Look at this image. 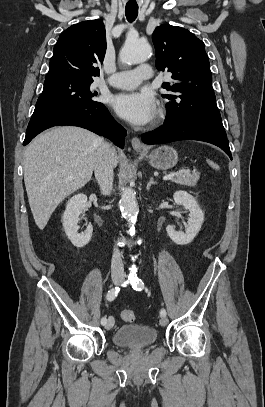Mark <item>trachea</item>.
I'll use <instances>...</instances> for the list:
<instances>
[{
	"label": "trachea",
	"instance_id": "trachea-1",
	"mask_svg": "<svg viewBox=\"0 0 265 407\" xmlns=\"http://www.w3.org/2000/svg\"><path fill=\"white\" fill-rule=\"evenodd\" d=\"M125 14L129 22H133L138 15V7L126 6Z\"/></svg>",
	"mask_w": 265,
	"mask_h": 407
}]
</instances>
